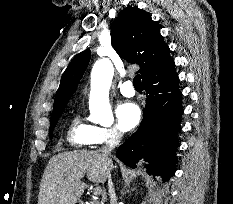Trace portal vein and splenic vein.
Segmentation results:
<instances>
[{"label":"portal vein and splenic vein","mask_w":233,"mask_h":204,"mask_svg":"<svg viewBox=\"0 0 233 204\" xmlns=\"http://www.w3.org/2000/svg\"><path fill=\"white\" fill-rule=\"evenodd\" d=\"M93 193L94 195H100L102 193L101 187H95Z\"/></svg>","instance_id":"obj_1"}]
</instances>
